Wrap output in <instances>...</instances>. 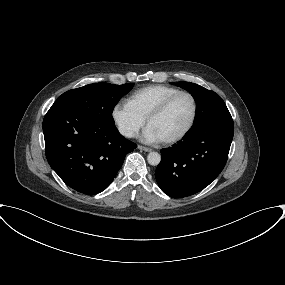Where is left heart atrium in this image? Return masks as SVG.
<instances>
[{"label":"left heart atrium","instance_id":"obj_1","mask_svg":"<svg viewBox=\"0 0 285 285\" xmlns=\"http://www.w3.org/2000/svg\"><path fill=\"white\" fill-rule=\"evenodd\" d=\"M142 140L146 143H158L161 142L159 136L150 128L147 127L142 134Z\"/></svg>","mask_w":285,"mask_h":285}]
</instances>
